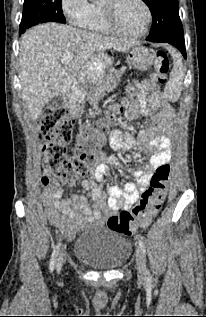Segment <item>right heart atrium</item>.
I'll return each mask as SVG.
<instances>
[{
	"label": "right heart atrium",
	"mask_w": 206,
	"mask_h": 317,
	"mask_svg": "<svg viewBox=\"0 0 206 317\" xmlns=\"http://www.w3.org/2000/svg\"><path fill=\"white\" fill-rule=\"evenodd\" d=\"M61 8L71 25L86 27L91 12L88 0H61Z\"/></svg>",
	"instance_id": "1"
}]
</instances>
